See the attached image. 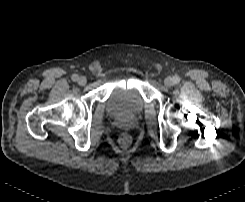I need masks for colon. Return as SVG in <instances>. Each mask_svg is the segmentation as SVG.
Listing matches in <instances>:
<instances>
[{
    "mask_svg": "<svg viewBox=\"0 0 245 202\" xmlns=\"http://www.w3.org/2000/svg\"><path fill=\"white\" fill-rule=\"evenodd\" d=\"M119 143L122 147H128L132 143V138L128 134H123L119 139Z\"/></svg>",
    "mask_w": 245,
    "mask_h": 202,
    "instance_id": "1",
    "label": "colon"
}]
</instances>
